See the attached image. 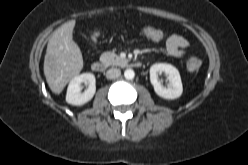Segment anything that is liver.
Instances as JSON below:
<instances>
[{
	"instance_id": "obj_1",
	"label": "liver",
	"mask_w": 248,
	"mask_h": 165,
	"mask_svg": "<svg viewBox=\"0 0 248 165\" xmlns=\"http://www.w3.org/2000/svg\"><path fill=\"white\" fill-rule=\"evenodd\" d=\"M75 20L57 28L47 44L44 59V74L49 88L60 94L67 83L83 68V58L79 46L73 41Z\"/></svg>"
}]
</instances>
